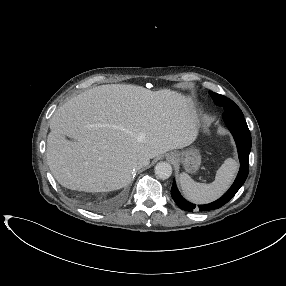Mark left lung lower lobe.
<instances>
[{"label": "left lung lower lobe", "instance_id": "1", "mask_svg": "<svg viewBox=\"0 0 286 286\" xmlns=\"http://www.w3.org/2000/svg\"><path fill=\"white\" fill-rule=\"evenodd\" d=\"M223 119L233 134V137L236 141L238 155L240 160V170L239 173L230 187V189L218 200L205 204L198 205L192 204L186 201L181 194L179 193L175 182L171 188V196L175 203L183 210L186 211H209L213 209H218L224 204H226L240 189V187L244 184L249 170V154L251 150V134L248 129L247 123L242 115H234V114H224Z\"/></svg>", "mask_w": 286, "mask_h": 286}]
</instances>
